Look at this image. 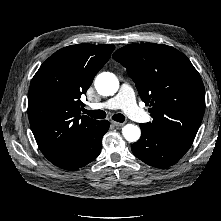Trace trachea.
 I'll return each instance as SVG.
<instances>
[{"label":"trachea","instance_id":"1","mask_svg":"<svg viewBox=\"0 0 221 221\" xmlns=\"http://www.w3.org/2000/svg\"><path fill=\"white\" fill-rule=\"evenodd\" d=\"M83 112L85 114H88L90 117L95 118V119H104L106 117V113L102 110H86L84 109ZM112 119L117 121V122H124L125 121V117L122 114H114L112 116Z\"/></svg>","mask_w":221,"mask_h":221}]
</instances>
